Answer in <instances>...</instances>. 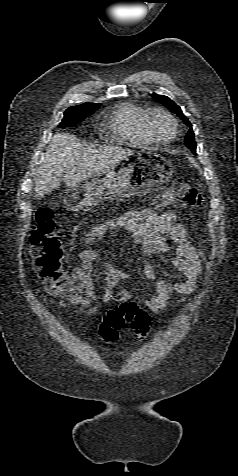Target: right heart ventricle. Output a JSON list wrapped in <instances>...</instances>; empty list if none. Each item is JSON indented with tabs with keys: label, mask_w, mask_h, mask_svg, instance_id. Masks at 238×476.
Here are the masks:
<instances>
[{
	"label": "right heart ventricle",
	"mask_w": 238,
	"mask_h": 476,
	"mask_svg": "<svg viewBox=\"0 0 238 476\" xmlns=\"http://www.w3.org/2000/svg\"><path fill=\"white\" fill-rule=\"evenodd\" d=\"M147 109L141 105L124 102L118 105L111 119L116 139L136 147H147L153 142L146 135L142 120Z\"/></svg>",
	"instance_id": "obj_1"
}]
</instances>
